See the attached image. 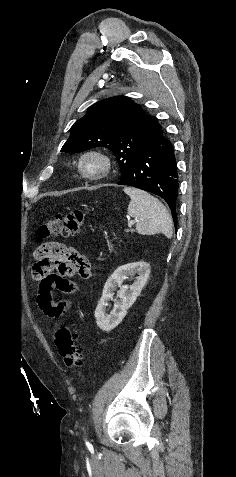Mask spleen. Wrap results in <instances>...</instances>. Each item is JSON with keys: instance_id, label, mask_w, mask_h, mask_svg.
<instances>
[{"instance_id": "spleen-1", "label": "spleen", "mask_w": 236, "mask_h": 477, "mask_svg": "<svg viewBox=\"0 0 236 477\" xmlns=\"http://www.w3.org/2000/svg\"><path fill=\"white\" fill-rule=\"evenodd\" d=\"M124 192L130 196L127 212L136 219V231L139 234L163 233L167 238L172 237L171 216L157 198L143 190L131 187H125Z\"/></svg>"}]
</instances>
